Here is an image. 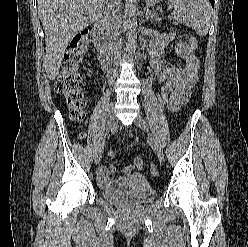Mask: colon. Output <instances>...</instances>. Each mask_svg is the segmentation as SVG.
Wrapping results in <instances>:
<instances>
[{"instance_id":"1","label":"colon","mask_w":248,"mask_h":247,"mask_svg":"<svg viewBox=\"0 0 248 247\" xmlns=\"http://www.w3.org/2000/svg\"><path fill=\"white\" fill-rule=\"evenodd\" d=\"M89 40L88 32L81 33L72 40L70 48L64 56L62 69L55 85L56 91L65 98L71 118L75 122H81L85 117L84 82L79 72V64ZM189 45L193 50H196L198 47L197 39L190 38ZM173 94L174 87L170 83L163 84L159 94L160 103L164 107H170ZM112 155L115 156V153ZM150 172L152 176H157L158 170L154 164H151Z\"/></svg>"}]
</instances>
